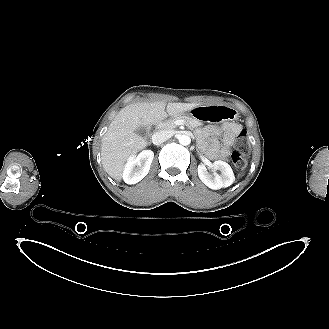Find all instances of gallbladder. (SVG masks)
<instances>
[{
  "mask_svg": "<svg viewBox=\"0 0 329 329\" xmlns=\"http://www.w3.org/2000/svg\"><path fill=\"white\" fill-rule=\"evenodd\" d=\"M139 136L141 137H145L147 134V128L146 127H139L136 131H135Z\"/></svg>",
  "mask_w": 329,
  "mask_h": 329,
  "instance_id": "obj_1",
  "label": "gallbladder"
}]
</instances>
